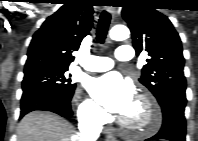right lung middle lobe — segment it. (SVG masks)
<instances>
[{
	"mask_svg": "<svg viewBox=\"0 0 198 141\" xmlns=\"http://www.w3.org/2000/svg\"><path fill=\"white\" fill-rule=\"evenodd\" d=\"M68 68H40L24 73L23 91L45 89L62 96H72L76 85L66 74Z\"/></svg>",
	"mask_w": 198,
	"mask_h": 141,
	"instance_id": "right-lung-middle-lobe-1",
	"label": "right lung middle lobe"
}]
</instances>
